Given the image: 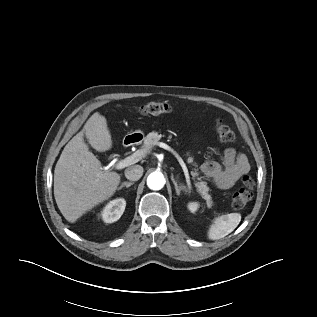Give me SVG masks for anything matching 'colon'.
<instances>
[{"label":"colon","mask_w":317,"mask_h":317,"mask_svg":"<svg viewBox=\"0 0 317 317\" xmlns=\"http://www.w3.org/2000/svg\"><path fill=\"white\" fill-rule=\"evenodd\" d=\"M169 106L162 101H152L142 105L139 108V113L144 116L161 115L168 112ZM216 131L225 143L234 141L235 136L232 130L225 124L219 122L216 125ZM253 179L249 175L243 178V187L237 190L232 196V207L236 210L244 208L252 199L253 196Z\"/></svg>","instance_id":"5ec220e1"}]
</instances>
